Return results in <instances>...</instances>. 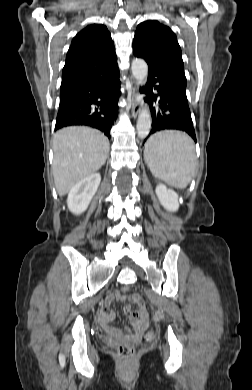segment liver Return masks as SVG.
Instances as JSON below:
<instances>
[{"label":"liver","instance_id":"1","mask_svg":"<svg viewBox=\"0 0 252 390\" xmlns=\"http://www.w3.org/2000/svg\"><path fill=\"white\" fill-rule=\"evenodd\" d=\"M53 176L59 196L106 162L109 140L96 129L72 126L59 130L53 140Z\"/></svg>","mask_w":252,"mask_h":390}]
</instances>
